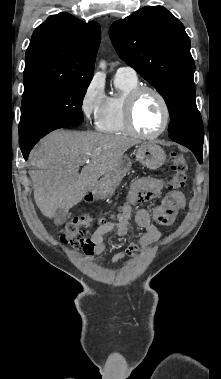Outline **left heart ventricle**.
I'll use <instances>...</instances> for the list:
<instances>
[{
	"label": "left heart ventricle",
	"instance_id": "1",
	"mask_svg": "<svg viewBox=\"0 0 221 379\" xmlns=\"http://www.w3.org/2000/svg\"><path fill=\"white\" fill-rule=\"evenodd\" d=\"M163 112L157 97L152 93L142 94L135 105L134 121L139 131L151 134L162 124Z\"/></svg>",
	"mask_w": 221,
	"mask_h": 379
}]
</instances>
